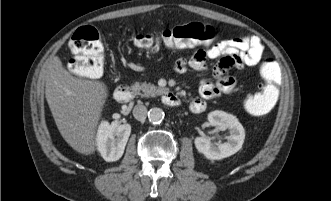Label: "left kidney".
<instances>
[{
  "mask_svg": "<svg viewBox=\"0 0 331 201\" xmlns=\"http://www.w3.org/2000/svg\"><path fill=\"white\" fill-rule=\"evenodd\" d=\"M208 121L220 130L228 129L230 135L227 137V142L217 144H213L210 138L196 137L194 143L199 153L207 159L220 160L235 154L242 148L245 131L235 116L216 110L208 114Z\"/></svg>",
  "mask_w": 331,
  "mask_h": 201,
  "instance_id": "1",
  "label": "left kidney"
}]
</instances>
